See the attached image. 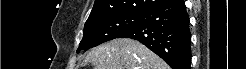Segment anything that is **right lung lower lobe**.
Wrapping results in <instances>:
<instances>
[{
	"mask_svg": "<svg viewBox=\"0 0 246 69\" xmlns=\"http://www.w3.org/2000/svg\"><path fill=\"white\" fill-rule=\"evenodd\" d=\"M119 37L140 41L173 69H190L191 35L184 0H167L146 10L141 22Z\"/></svg>",
	"mask_w": 246,
	"mask_h": 69,
	"instance_id": "right-lung-lower-lobe-1",
	"label": "right lung lower lobe"
}]
</instances>
